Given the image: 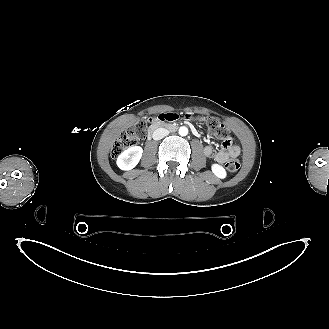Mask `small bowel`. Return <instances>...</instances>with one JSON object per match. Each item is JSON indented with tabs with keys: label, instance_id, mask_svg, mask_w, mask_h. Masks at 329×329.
<instances>
[{
	"label": "small bowel",
	"instance_id": "obj_1",
	"mask_svg": "<svg viewBox=\"0 0 329 329\" xmlns=\"http://www.w3.org/2000/svg\"><path fill=\"white\" fill-rule=\"evenodd\" d=\"M177 118H179V113H160L157 115V120L166 122L177 121ZM180 118L198 121V116L194 113H180ZM204 153L208 157H213L218 163L223 164L228 159L237 157L240 154V148L237 145H230L216 151L213 146L207 145L204 148Z\"/></svg>",
	"mask_w": 329,
	"mask_h": 329
}]
</instances>
